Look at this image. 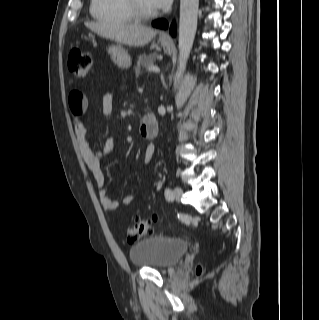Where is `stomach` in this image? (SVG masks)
Here are the masks:
<instances>
[{"instance_id":"obj_1","label":"stomach","mask_w":319,"mask_h":320,"mask_svg":"<svg viewBox=\"0 0 319 320\" xmlns=\"http://www.w3.org/2000/svg\"><path fill=\"white\" fill-rule=\"evenodd\" d=\"M159 42L164 49V52L167 54L171 53V43L160 37ZM108 53L112 59V61L120 68L127 69L131 66L132 60L128 52L123 48L120 43L111 45L108 47Z\"/></svg>"}]
</instances>
